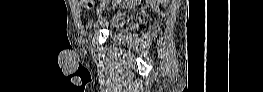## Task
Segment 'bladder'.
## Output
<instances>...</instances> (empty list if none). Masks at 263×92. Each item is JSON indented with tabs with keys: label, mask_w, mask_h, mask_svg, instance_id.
Returning <instances> with one entry per match:
<instances>
[{
	"label": "bladder",
	"mask_w": 263,
	"mask_h": 92,
	"mask_svg": "<svg viewBox=\"0 0 263 92\" xmlns=\"http://www.w3.org/2000/svg\"><path fill=\"white\" fill-rule=\"evenodd\" d=\"M126 23V18L122 16H115L112 19V27L113 28H120Z\"/></svg>",
	"instance_id": "31cf9c89"
}]
</instances>
